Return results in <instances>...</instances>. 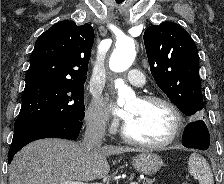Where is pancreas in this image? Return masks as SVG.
<instances>
[{
	"label": "pancreas",
	"instance_id": "obj_1",
	"mask_svg": "<svg viewBox=\"0 0 224 184\" xmlns=\"http://www.w3.org/2000/svg\"><path fill=\"white\" fill-rule=\"evenodd\" d=\"M143 184H153V180L145 179V180L143 181Z\"/></svg>",
	"mask_w": 224,
	"mask_h": 184
}]
</instances>
